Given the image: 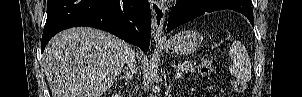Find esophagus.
<instances>
[{
    "label": "esophagus",
    "instance_id": "34e87169",
    "mask_svg": "<svg viewBox=\"0 0 302 97\" xmlns=\"http://www.w3.org/2000/svg\"><path fill=\"white\" fill-rule=\"evenodd\" d=\"M150 8L152 13V36L156 42H162L163 37V25L165 21V10L163 5L156 1L150 0Z\"/></svg>",
    "mask_w": 302,
    "mask_h": 97
}]
</instances>
